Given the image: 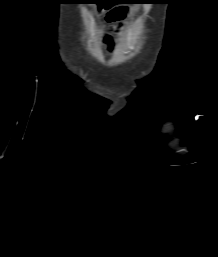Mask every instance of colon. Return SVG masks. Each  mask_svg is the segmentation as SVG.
I'll use <instances>...</instances> for the list:
<instances>
[{"label": "colon", "instance_id": "5ec220e1", "mask_svg": "<svg viewBox=\"0 0 218 257\" xmlns=\"http://www.w3.org/2000/svg\"><path fill=\"white\" fill-rule=\"evenodd\" d=\"M89 10H112L108 14V20L113 22L123 18V10H137V5H89Z\"/></svg>", "mask_w": 218, "mask_h": 257}]
</instances>
